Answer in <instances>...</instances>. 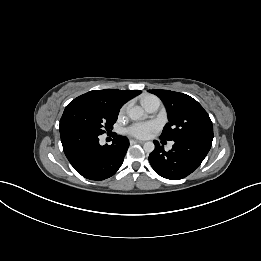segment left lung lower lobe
<instances>
[{"instance_id":"obj_1","label":"left lung lower lobe","mask_w":261,"mask_h":261,"mask_svg":"<svg viewBox=\"0 0 261 261\" xmlns=\"http://www.w3.org/2000/svg\"><path fill=\"white\" fill-rule=\"evenodd\" d=\"M149 155V162L155 172L167 179L179 180L195 171L207 153L212 142L201 139H179L174 141L171 151H165L158 141Z\"/></svg>"}]
</instances>
